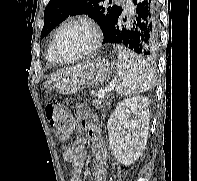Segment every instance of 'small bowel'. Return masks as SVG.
Wrapping results in <instances>:
<instances>
[{"mask_svg": "<svg viewBox=\"0 0 197 181\" xmlns=\"http://www.w3.org/2000/svg\"><path fill=\"white\" fill-rule=\"evenodd\" d=\"M74 114L78 126L85 131V135L78 137L75 143L64 149V159L71 165L70 181H83L82 172L88 143L92 154V181H106L107 150L97 118L84 104L77 105Z\"/></svg>", "mask_w": 197, "mask_h": 181, "instance_id": "obj_1", "label": "small bowel"}]
</instances>
